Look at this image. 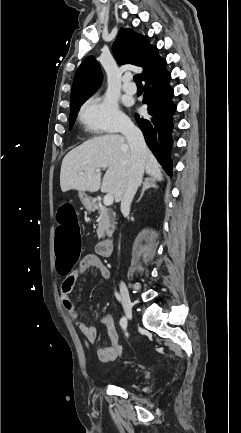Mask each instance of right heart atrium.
<instances>
[{
  "label": "right heart atrium",
  "mask_w": 241,
  "mask_h": 433,
  "mask_svg": "<svg viewBox=\"0 0 241 433\" xmlns=\"http://www.w3.org/2000/svg\"><path fill=\"white\" fill-rule=\"evenodd\" d=\"M79 120L89 132H123L130 122L115 100L108 96L94 95L80 108Z\"/></svg>",
  "instance_id": "d8ad5b80"
}]
</instances>
